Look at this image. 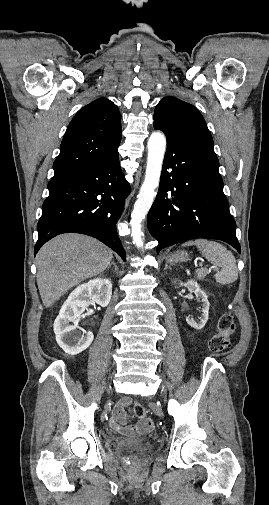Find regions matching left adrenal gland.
Instances as JSON below:
<instances>
[{"instance_id":"left-adrenal-gland-1","label":"left adrenal gland","mask_w":269,"mask_h":505,"mask_svg":"<svg viewBox=\"0 0 269 505\" xmlns=\"http://www.w3.org/2000/svg\"><path fill=\"white\" fill-rule=\"evenodd\" d=\"M167 269H170L171 270V267L168 266V264L165 265V268H164V271L167 270Z\"/></svg>"}]
</instances>
